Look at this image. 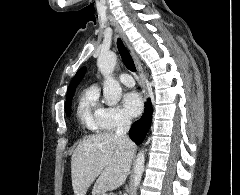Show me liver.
Instances as JSON below:
<instances>
[{
  "label": "liver",
  "instance_id": "liver-1",
  "mask_svg": "<svg viewBox=\"0 0 240 195\" xmlns=\"http://www.w3.org/2000/svg\"><path fill=\"white\" fill-rule=\"evenodd\" d=\"M136 145L125 143L113 131L88 135L72 153L71 175L75 195H86L91 183L95 189L112 191L125 183Z\"/></svg>",
  "mask_w": 240,
  "mask_h": 195
}]
</instances>
